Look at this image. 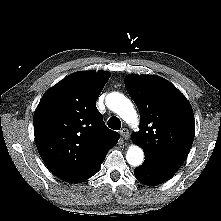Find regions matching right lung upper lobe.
<instances>
[{
	"instance_id": "1",
	"label": "right lung upper lobe",
	"mask_w": 221,
	"mask_h": 221,
	"mask_svg": "<svg viewBox=\"0 0 221 221\" xmlns=\"http://www.w3.org/2000/svg\"><path fill=\"white\" fill-rule=\"evenodd\" d=\"M110 73H73L51 87L34 112L38 152L51 172L77 183L106 157L119 139L108 129L96 100Z\"/></svg>"
}]
</instances>
